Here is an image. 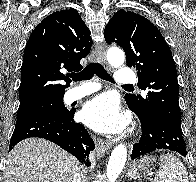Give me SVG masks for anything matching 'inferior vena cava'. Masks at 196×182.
<instances>
[{
    "instance_id": "1",
    "label": "inferior vena cava",
    "mask_w": 196,
    "mask_h": 182,
    "mask_svg": "<svg viewBox=\"0 0 196 182\" xmlns=\"http://www.w3.org/2000/svg\"><path fill=\"white\" fill-rule=\"evenodd\" d=\"M72 182H81V175L79 173V171L75 172Z\"/></svg>"
}]
</instances>
